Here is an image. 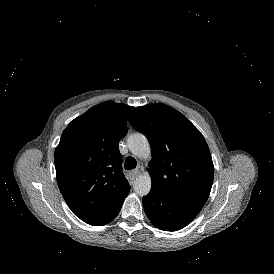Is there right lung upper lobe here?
I'll return each mask as SVG.
<instances>
[{"label": "right lung upper lobe", "instance_id": "1", "mask_svg": "<svg viewBox=\"0 0 274 274\" xmlns=\"http://www.w3.org/2000/svg\"><path fill=\"white\" fill-rule=\"evenodd\" d=\"M133 110L110 101L90 108L69 123L55 150L59 189L73 213L90 225L111 222L129 193L118 144Z\"/></svg>", "mask_w": 274, "mask_h": 274}]
</instances>
